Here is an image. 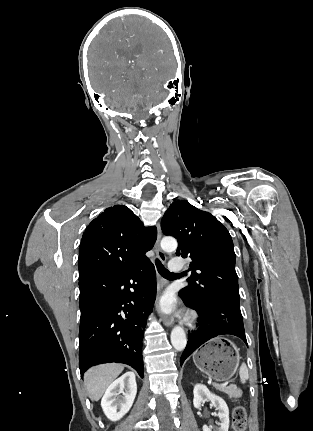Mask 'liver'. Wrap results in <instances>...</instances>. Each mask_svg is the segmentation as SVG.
<instances>
[{
	"instance_id": "6515ba94",
	"label": "liver",
	"mask_w": 313,
	"mask_h": 431,
	"mask_svg": "<svg viewBox=\"0 0 313 431\" xmlns=\"http://www.w3.org/2000/svg\"><path fill=\"white\" fill-rule=\"evenodd\" d=\"M123 369L120 364H104L89 369L84 379L90 399L98 401Z\"/></svg>"
}]
</instances>
